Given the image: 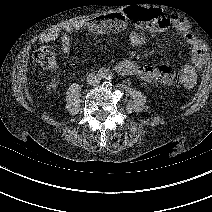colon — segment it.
<instances>
[{
  "label": "colon",
  "instance_id": "obj_1",
  "mask_svg": "<svg viewBox=\"0 0 212 212\" xmlns=\"http://www.w3.org/2000/svg\"><path fill=\"white\" fill-rule=\"evenodd\" d=\"M34 58L48 69H54L56 66L55 55L50 48H39L34 52ZM157 79L161 84H172L176 80V72L171 66L163 64L158 68Z\"/></svg>",
  "mask_w": 212,
  "mask_h": 212
}]
</instances>
